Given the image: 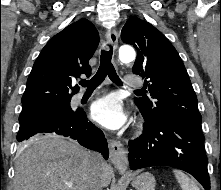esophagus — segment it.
<instances>
[{"label":"esophagus","instance_id":"34e87169","mask_svg":"<svg viewBox=\"0 0 221 190\" xmlns=\"http://www.w3.org/2000/svg\"><path fill=\"white\" fill-rule=\"evenodd\" d=\"M106 40L108 44L112 45L116 51L118 47V32L116 29H109L107 31ZM108 145L110 160L119 171L125 172L128 167V156L125 147L120 141L112 139L109 140Z\"/></svg>","mask_w":221,"mask_h":190}]
</instances>
